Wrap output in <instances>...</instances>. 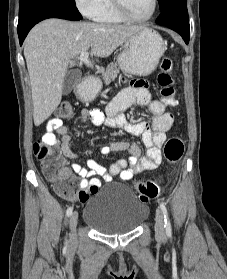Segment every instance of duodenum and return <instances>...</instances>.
Masks as SVG:
<instances>
[{
    "mask_svg": "<svg viewBox=\"0 0 227 279\" xmlns=\"http://www.w3.org/2000/svg\"><path fill=\"white\" fill-rule=\"evenodd\" d=\"M75 96H76L77 100L80 102H84V103L91 102V100L86 97L85 90L83 87H80L76 90Z\"/></svg>",
    "mask_w": 227,
    "mask_h": 279,
    "instance_id": "duodenum-1",
    "label": "duodenum"
}]
</instances>
